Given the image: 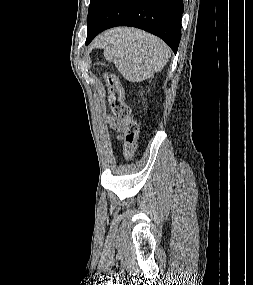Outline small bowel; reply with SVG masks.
<instances>
[{
	"instance_id": "small-bowel-1",
	"label": "small bowel",
	"mask_w": 253,
	"mask_h": 285,
	"mask_svg": "<svg viewBox=\"0 0 253 285\" xmlns=\"http://www.w3.org/2000/svg\"><path fill=\"white\" fill-rule=\"evenodd\" d=\"M109 122H110L112 129H114L116 131H123L124 130V124L120 120H118L117 118L111 116L109 118Z\"/></svg>"
}]
</instances>
